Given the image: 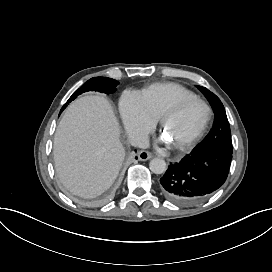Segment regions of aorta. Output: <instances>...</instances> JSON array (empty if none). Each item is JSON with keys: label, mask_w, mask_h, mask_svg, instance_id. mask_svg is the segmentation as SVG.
Listing matches in <instances>:
<instances>
[{"label": "aorta", "mask_w": 272, "mask_h": 272, "mask_svg": "<svg viewBox=\"0 0 272 272\" xmlns=\"http://www.w3.org/2000/svg\"><path fill=\"white\" fill-rule=\"evenodd\" d=\"M150 170L155 174H162L166 171V162L161 158H154L149 163Z\"/></svg>", "instance_id": "762f6f07"}]
</instances>
